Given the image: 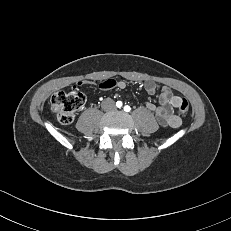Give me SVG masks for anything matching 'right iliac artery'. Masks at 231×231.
Instances as JSON below:
<instances>
[{"label": "right iliac artery", "mask_w": 231, "mask_h": 231, "mask_svg": "<svg viewBox=\"0 0 231 231\" xmlns=\"http://www.w3.org/2000/svg\"><path fill=\"white\" fill-rule=\"evenodd\" d=\"M116 106L120 108V107L122 106V102H121V101H118V102L116 103Z\"/></svg>", "instance_id": "1"}]
</instances>
